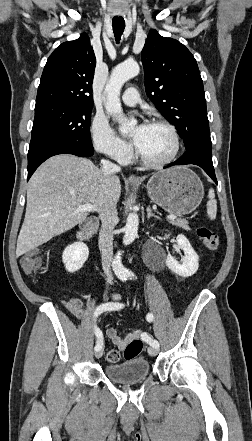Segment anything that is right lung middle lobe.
Instances as JSON below:
<instances>
[{
	"instance_id": "1",
	"label": "right lung middle lobe",
	"mask_w": 252,
	"mask_h": 441,
	"mask_svg": "<svg viewBox=\"0 0 252 441\" xmlns=\"http://www.w3.org/2000/svg\"><path fill=\"white\" fill-rule=\"evenodd\" d=\"M92 106L52 103L35 107L29 149L59 140L91 142Z\"/></svg>"
}]
</instances>
